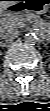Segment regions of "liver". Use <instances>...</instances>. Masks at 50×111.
<instances>
[{
  "label": "liver",
  "instance_id": "liver-1",
  "mask_svg": "<svg viewBox=\"0 0 50 111\" xmlns=\"http://www.w3.org/2000/svg\"><path fill=\"white\" fill-rule=\"evenodd\" d=\"M14 4H16V2L13 0L1 1L0 2V8H1V10H5Z\"/></svg>",
  "mask_w": 50,
  "mask_h": 111
}]
</instances>
